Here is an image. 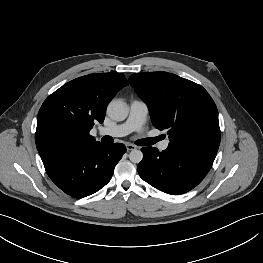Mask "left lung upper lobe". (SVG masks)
I'll use <instances>...</instances> for the list:
<instances>
[{"label":"left lung upper lobe","mask_w":263,"mask_h":263,"mask_svg":"<svg viewBox=\"0 0 263 263\" xmlns=\"http://www.w3.org/2000/svg\"><path fill=\"white\" fill-rule=\"evenodd\" d=\"M129 82L146 102L153 125L168 130L170 145L218 151V111L202 86L167 72L133 74Z\"/></svg>","instance_id":"obj_1"}]
</instances>
